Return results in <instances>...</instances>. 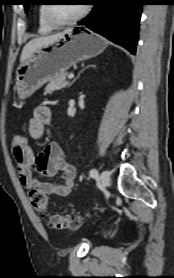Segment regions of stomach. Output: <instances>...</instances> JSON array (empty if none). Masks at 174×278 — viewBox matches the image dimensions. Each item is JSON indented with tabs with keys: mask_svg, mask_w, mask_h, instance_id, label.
Instances as JSON below:
<instances>
[{
	"mask_svg": "<svg viewBox=\"0 0 174 278\" xmlns=\"http://www.w3.org/2000/svg\"><path fill=\"white\" fill-rule=\"evenodd\" d=\"M107 41L84 30L64 34L51 44L36 49L16 71L14 90L27 98L45 83L65 73L71 66L101 54Z\"/></svg>",
	"mask_w": 174,
	"mask_h": 278,
	"instance_id": "0dacf381",
	"label": "stomach"
}]
</instances>
